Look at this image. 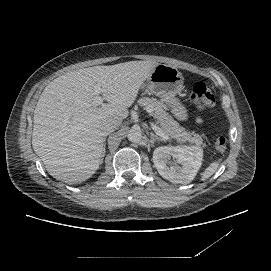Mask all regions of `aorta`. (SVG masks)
Returning a JSON list of instances; mask_svg holds the SVG:
<instances>
[{"mask_svg":"<svg viewBox=\"0 0 271 271\" xmlns=\"http://www.w3.org/2000/svg\"><path fill=\"white\" fill-rule=\"evenodd\" d=\"M127 138L132 143H139L142 141L143 135L139 128H131L127 134Z\"/></svg>","mask_w":271,"mask_h":271,"instance_id":"aorta-1","label":"aorta"}]
</instances>
